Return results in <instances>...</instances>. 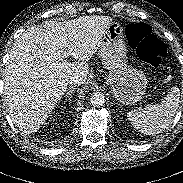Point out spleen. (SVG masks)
I'll return each mask as SVG.
<instances>
[{
    "label": "spleen",
    "instance_id": "3e777b00",
    "mask_svg": "<svg viewBox=\"0 0 183 183\" xmlns=\"http://www.w3.org/2000/svg\"><path fill=\"white\" fill-rule=\"evenodd\" d=\"M179 102V88L173 87L160 104H149L143 110H131L127 113V118L139 132L156 135L171 125Z\"/></svg>",
    "mask_w": 183,
    "mask_h": 183
}]
</instances>
